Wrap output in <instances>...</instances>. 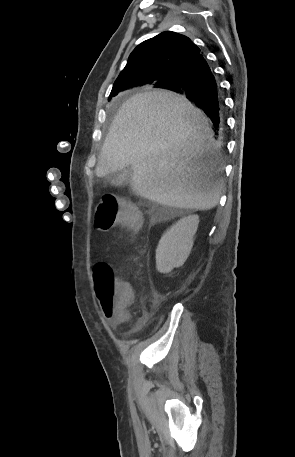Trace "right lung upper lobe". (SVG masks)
I'll return each mask as SVG.
<instances>
[{
	"instance_id": "right-lung-upper-lobe-1",
	"label": "right lung upper lobe",
	"mask_w": 295,
	"mask_h": 457,
	"mask_svg": "<svg viewBox=\"0 0 295 457\" xmlns=\"http://www.w3.org/2000/svg\"><path fill=\"white\" fill-rule=\"evenodd\" d=\"M199 55L200 49L188 37L171 31L162 32L133 50L112 91L119 93L135 84L156 87L174 80L183 67Z\"/></svg>"
}]
</instances>
